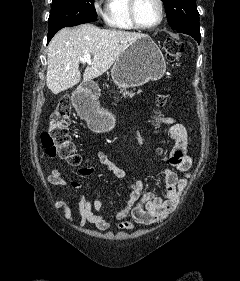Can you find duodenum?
Returning a JSON list of instances; mask_svg holds the SVG:
<instances>
[{"label":"duodenum","instance_id":"410a0bca","mask_svg":"<svg viewBox=\"0 0 240 281\" xmlns=\"http://www.w3.org/2000/svg\"><path fill=\"white\" fill-rule=\"evenodd\" d=\"M97 95V90L92 87H86L84 89V96L83 99L81 100V104H85L88 98H93L96 97Z\"/></svg>","mask_w":240,"mask_h":281}]
</instances>
